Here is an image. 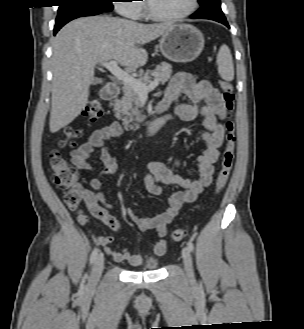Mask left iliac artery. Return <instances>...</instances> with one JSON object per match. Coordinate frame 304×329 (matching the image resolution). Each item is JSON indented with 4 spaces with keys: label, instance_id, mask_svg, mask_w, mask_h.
Segmentation results:
<instances>
[{
    "label": "left iliac artery",
    "instance_id": "obj_1",
    "mask_svg": "<svg viewBox=\"0 0 304 329\" xmlns=\"http://www.w3.org/2000/svg\"><path fill=\"white\" fill-rule=\"evenodd\" d=\"M187 246H188V249H189L190 251H193V249H194V245H193V243H192L191 241H189V242L187 243Z\"/></svg>",
    "mask_w": 304,
    "mask_h": 329
}]
</instances>
